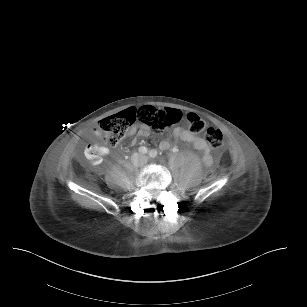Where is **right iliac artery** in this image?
I'll list each match as a JSON object with an SVG mask.
<instances>
[{
  "label": "right iliac artery",
  "mask_w": 307,
  "mask_h": 307,
  "mask_svg": "<svg viewBox=\"0 0 307 307\" xmlns=\"http://www.w3.org/2000/svg\"><path fill=\"white\" fill-rule=\"evenodd\" d=\"M138 151L140 153L146 154L148 152V149L146 147L142 146V147H139Z\"/></svg>",
  "instance_id": "82829eb1"
}]
</instances>
